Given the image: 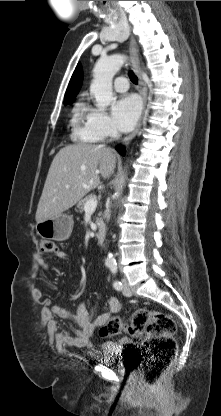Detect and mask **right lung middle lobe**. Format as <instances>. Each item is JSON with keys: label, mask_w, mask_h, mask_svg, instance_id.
I'll return each instance as SVG.
<instances>
[{"label": "right lung middle lobe", "mask_w": 221, "mask_h": 416, "mask_svg": "<svg viewBox=\"0 0 221 416\" xmlns=\"http://www.w3.org/2000/svg\"><path fill=\"white\" fill-rule=\"evenodd\" d=\"M68 104H72V102H69V101L64 102V105H68Z\"/></svg>", "instance_id": "obj_1"}]
</instances>
